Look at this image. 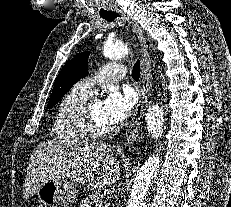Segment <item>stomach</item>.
<instances>
[{"label":"stomach","instance_id":"0dacf381","mask_svg":"<svg viewBox=\"0 0 231 207\" xmlns=\"http://www.w3.org/2000/svg\"><path fill=\"white\" fill-rule=\"evenodd\" d=\"M76 192V185L72 181L60 178L44 182L36 195L45 207H57L58 204L69 207L76 198Z\"/></svg>","mask_w":231,"mask_h":207}]
</instances>
